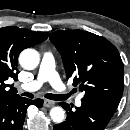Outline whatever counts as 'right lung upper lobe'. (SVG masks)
<instances>
[{
	"label": "right lung upper lobe",
	"mask_w": 130,
	"mask_h": 130,
	"mask_svg": "<svg viewBox=\"0 0 130 130\" xmlns=\"http://www.w3.org/2000/svg\"><path fill=\"white\" fill-rule=\"evenodd\" d=\"M46 32H33L18 27L0 28V98L17 96L13 85L6 84L9 77L16 78L20 52L47 39Z\"/></svg>",
	"instance_id": "right-lung-upper-lobe-1"
}]
</instances>
